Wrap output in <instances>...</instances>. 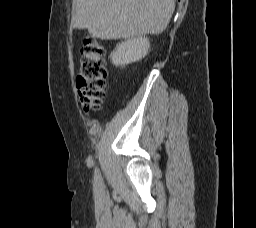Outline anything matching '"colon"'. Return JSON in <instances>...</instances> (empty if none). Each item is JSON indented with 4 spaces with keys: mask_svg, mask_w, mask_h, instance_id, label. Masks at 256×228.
<instances>
[{
    "mask_svg": "<svg viewBox=\"0 0 256 228\" xmlns=\"http://www.w3.org/2000/svg\"><path fill=\"white\" fill-rule=\"evenodd\" d=\"M106 77L104 49L96 39L88 37L81 48L76 79L79 100L86 113L100 108L105 95Z\"/></svg>",
    "mask_w": 256,
    "mask_h": 228,
    "instance_id": "obj_1",
    "label": "colon"
}]
</instances>
